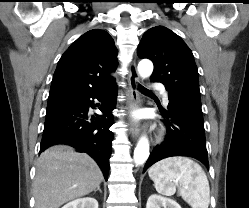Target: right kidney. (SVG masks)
Listing matches in <instances>:
<instances>
[{"label": "right kidney", "instance_id": "ca27d5eb", "mask_svg": "<svg viewBox=\"0 0 249 208\" xmlns=\"http://www.w3.org/2000/svg\"><path fill=\"white\" fill-rule=\"evenodd\" d=\"M62 208H98V201L94 198L86 197L71 201Z\"/></svg>", "mask_w": 249, "mask_h": 208}]
</instances>
